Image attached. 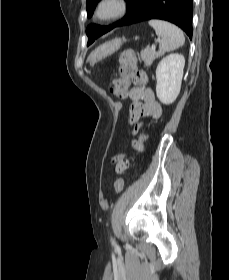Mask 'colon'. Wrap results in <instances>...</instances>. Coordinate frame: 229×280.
Returning <instances> with one entry per match:
<instances>
[{
	"label": "colon",
	"mask_w": 229,
	"mask_h": 280,
	"mask_svg": "<svg viewBox=\"0 0 229 280\" xmlns=\"http://www.w3.org/2000/svg\"><path fill=\"white\" fill-rule=\"evenodd\" d=\"M119 62L121 64L119 68V80L117 82V90L125 88L129 83L133 82L137 85H145L148 82L147 75L144 71L137 68L136 54L132 49H126L120 52ZM146 139V133L142 132L140 136L134 140L133 147L136 151L143 149V142ZM118 170H122L125 162L120 155H116L112 161ZM124 186V178L120 177L114 182L116 191H121Z\"/></svg>",
	"instance_id": "5ec220e1"
}]
</instances>
